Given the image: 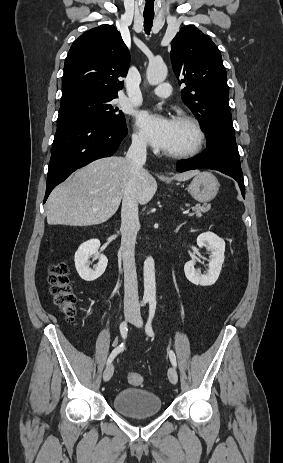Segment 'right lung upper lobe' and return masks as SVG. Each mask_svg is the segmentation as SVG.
Masks as SVG:
<instances>
[{
    "mask_svg": "<svg viewBox=\"0 0 283 463\" xmlns=\"http://www.w3.org/2000/svg\"><path fill=\"white\" fill-rule=\"evenodd\" d=\"M130 63L128 48L112 25H101L77 38L67 55L61 106L91 96H117Z\"/></svg>",
    "mask_w": 283,
    "mask_h": 463,
    "instance_id": "1",
    "label": "right lung upper lobe"
}]
</instances>
